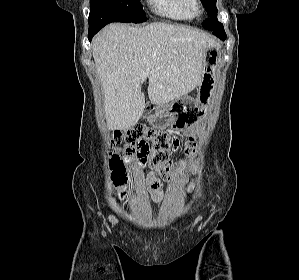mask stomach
<instances>
[{
	"label": "stomach",
	"instance_id": "1",
	"mask_svg": "<svg viewBox=\"0 0 299 280\" xmlns=\"http://www.w3.org/2000/svg\"><path fill=\"white\" fill-rule=\"evenodd\" d=\"M219 60V50L216 47L207 48L202 63V80L197 87L195 99L185 96L171 103L147 105L143 113L151 126L156 129L170 126L180 130L192 127L196 121L194 117H198L195 108H203L213 94L215 88L213 73Z\"/></svg>",
	"mask_w": 299,
	"mask_h": 280
}]
</instances>
